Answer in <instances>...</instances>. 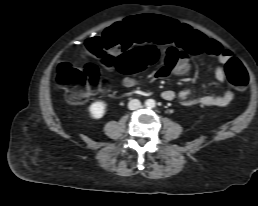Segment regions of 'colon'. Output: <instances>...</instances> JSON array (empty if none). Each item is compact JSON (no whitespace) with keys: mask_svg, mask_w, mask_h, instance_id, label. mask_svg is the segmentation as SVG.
I'll return each mask as SVG.
<instances>
[{"mask_svg":"<svg viewBox=\"0 0 258 206\" xmlns=\"http://www.w3.org/2000/svg\"><path fill=\"white\" fill-rule=\"evenodd\" d=\"M88 54V62L82 68L70 62H62L57 68L56 82L66 91L70 103L80 104L96 91L107 90L108 84L102 77L100 66L118 73H137L151 66L158 57L153 46L140 47L116 57L98 40L88 42ZM225 74L235 89L243 91L247 88L248 73L238 59L230 58L225 63Z\"/></svg>","mask_w":258,"mask_h":206,"instance_id":"5ec220e1","label":"colon"}]
</instances>
